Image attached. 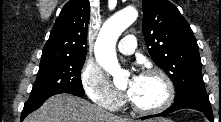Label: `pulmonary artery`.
<instances>
[{
    "label": "pulmonary artery",
    "mask_w": 221,
    "mask_h": 122,
    "mask_svg": "<svg viewBox=\"0 0 221 122\" xmlns=\"http://www.w3.org/2000/svg\"><path fill=\"white\" fill-rule=\"evenodd\" d=\"M136 45V37L132 34H129L120 40L118 44V50L123 54L129 55L134 52Z\"/></svg>",
    "instance_id": "obj_1"
}]
</instances>
